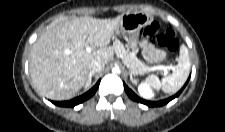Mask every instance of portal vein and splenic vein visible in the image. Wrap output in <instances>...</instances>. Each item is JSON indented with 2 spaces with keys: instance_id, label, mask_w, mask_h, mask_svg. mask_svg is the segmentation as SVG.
<instances>
[{
  "instance_id": "portal-vein-and-splenic-vein-1",
  "label": "portal vein and splenic vein",
  "mask_w": 225,
  "mask_h": 132,
  "mask_svg": "<svg viewBox=\"0 0 225 132\" xmlns=\"http://www.w3.org/2000/svg\"><path fill=\"white\" fill-rule=\"evenodd\" d=\"M86 52L90 53L91 47L88 46L86 48ZM68 53H70V52L68 51ZM169 69H173V66H171V65H158V66H153V67L149 68L148 71H154V70L166 71V70H169Z\"/></svg>"
}]
</instances>
